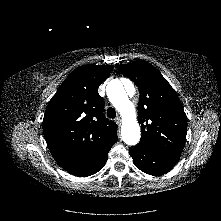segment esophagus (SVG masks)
<instances>
[{"mask_svg":"<svg viewBox=\"0 0 221 221\" xmlns=\"http://www.w3.org/2000/svg\"><path fill=\"white\" fill-rule=\"evenodd\" d=\"M116 122H117L118 125H121V122H122L121 118H120V117H117V118H116Z\"/></svg>","mask_w":221,"mask_h":221,"instance_id":"obj_1","label":"esophagus"}]
</instances>
